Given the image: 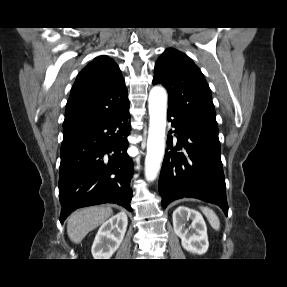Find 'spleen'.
Segmentation results:
<instances>
[{
	"label": "spleen",
	"instance_id": "spleen-1",
	"mask_svg": "<svg viewBox=\"0 0 287 287\" xmlns=\"http://www.w3.org/2000/svg\"><path fill=\"white\" fill-rule=\"evenodd\" d=\"M200 209L207 217L212 228H214L215 230H218L220 228V221L216 213L208 207H200Z\"/></svg>",
	"mask_w": 287,
	"mask_h": 287
}]
</instances>
